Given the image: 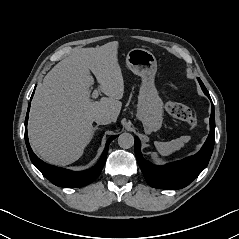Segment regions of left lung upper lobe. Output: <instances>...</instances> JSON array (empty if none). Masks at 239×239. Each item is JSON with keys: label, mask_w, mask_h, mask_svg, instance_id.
Listing matches in <instances>:
<instances>
[{"label": "left lung upper lobe", "mask_w": 239, "mask_h": 239, "mask_svg": "<svg viewBox=\"0 0 239 239\" xmlns=\"http://www.w3.org/2000/svg\"><path fill=\"white\" fill-rule=\"evenodd\" d=\"M198 81H199V83L201 84V85H203L204 86V84L202 83V81L198 78Z\"/></svg>", "instance_id": "1"}]
</instances>
